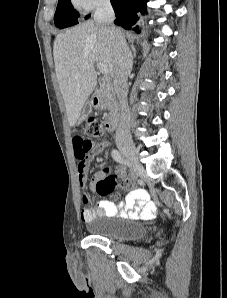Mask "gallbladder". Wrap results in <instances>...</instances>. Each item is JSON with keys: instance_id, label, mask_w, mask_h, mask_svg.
I'll return each instance as SVG.
<instances>
[{"instance_id": "obj_1", "label": "gallbladder", "mask_w": 227, "mask_h": 298, "mask_svg": "<svg viewBox=\"0 0 227 298\" xmlns=\"http://www.w3.org/2000/svg\"><path fill=\"white\" fill-rule=\"evenodd\" d=\"M92 112V105L90 102H87L86 105L83 108L81 117L79 119V123H81L82 121H84Z\"/></svg>"}]
</instances>
